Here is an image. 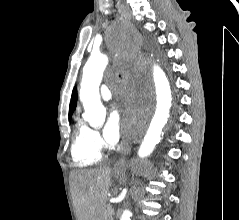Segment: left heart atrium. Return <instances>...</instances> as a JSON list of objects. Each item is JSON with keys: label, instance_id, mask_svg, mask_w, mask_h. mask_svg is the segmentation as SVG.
Returning a JSON list of instances; mask_svg holds the SVG:
<instances>
[{"label": "left heart atrium", "instance_id": "left-heart-atrium-1", "mask_svg": "<svg viewBox=\"0 0 239 220\" xmlns=\"http://www.w3.org/2000/svg\"><path fill=\"white\" fill-rule=\"evenodd\" d=\"M118 102L112 107L108 120L103 129L104 139L111 144L117 143L121 137V114L118 107L122 105L124 114H129V118L123 124L127 132L130 133L133 127L141 125V119L138 115L134 114L130 109L129 98L124 94L120 93L117 97Z\"/></svg>", "mask_w": 239, "mask_h": 220}]
</instances>
